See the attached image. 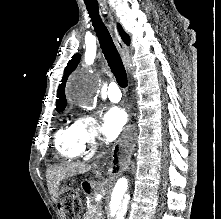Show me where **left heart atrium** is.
Instances as JSON below:
<instances>
[{"label":"left heart atrium","instance_id":"39dd6f15","mask_svg":"<svg viewBox=\"0 0 221 219\" xmlns=\"http://www.w3.org/2000/svg\"><path fill=\"white\" fill-rule=\"evenodd\" d=\"M127 121V113L119 107H112L104 117L103 133L108 139L115 138Z\"/></svg>","mask_w":221,"mask_h":219}]
</instances>
